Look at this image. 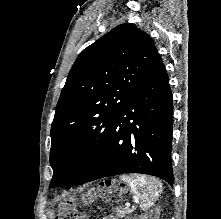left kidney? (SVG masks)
<instances>
[{
    "mask_svg": "<svg viewBox=\"0 0 221 219\" xmlns=\"http://www.w3.org/2000/svg\"><path fill=\"white\" fill-rule=\"evenodd\" d=\"M158 213H159V212L157 211L153 216H152V215L148 216V215L146 214V215L140 216L139 219H158V217H157V214H158ZM135 219H136V218H135Z\"/></svg>",
    "mask_w": 221,
    "mask_h": 219,
    "instance_id": "1",
    "label": "left kidney"
}]
</instances>
